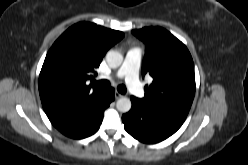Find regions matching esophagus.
Here are the masks:
<instances>
[{
    "label": "esophagus",
    "mask_w": 248,
    "mask_h": 165,
    "mask_svg": "<svg viewBox=\"0 0 248 165\" xmlns=\"http://www.w3.org/2000/svg\"><path fill=\"white\" fill-rule=\"evenodd\" d=\"M121 97H123V94H121V93H119V92H116V93H115V98H116V99H119V98H121Z\"/></svg>",
    "instance_id": "34e87169"
}]
</instances>
